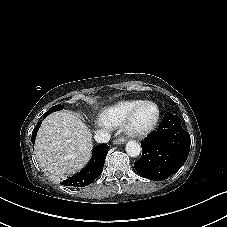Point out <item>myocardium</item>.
<instances>
[{
	"label": "myocardium",
	"mask_w": 227,
	"mask_h": 227,
	"mask_svg": "<svg viewBox=\"0 0 227 227\" xmlns=\"http://www.w3.org/2000/svg\"><path fill=\"white\" fill-rule=\"evenodd\" d=\"M144 105L154 106L156 108V116H155L154 120L147 126H144V127L135 126L133 123L135 115L137 114L139 109ZM159 119H160V107L158 106V104H156L154 101H151V100H144V101H141L128 114V116L125 118V120L122 124V128L126 132V134L130 137H143L154 130V128L157 126V124L159 122Z\"/></svg>",
	"instance_id": "1"
}]
</instances>
